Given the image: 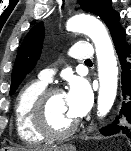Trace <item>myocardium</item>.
I'll return each instance as SVG.
<instances>
[{"label": "myocardium", "mask_w": 131, "mask_h": 151, "mask_svg": "<svg viewBox=\"0 0 131 151\" xmlns=\"http://www.w3.org/2000/svg\"><path fill=\"white\" fill-rule=\"evenodd\" d=\"M59 87L46 88L37 98L33 107V125L36 131L47 139H63L72 135L78 128L79 121H75L70 127L62 131L53 130L48 123V104L51 98L57 94H62Z\"/></svg>", "instance_id": "1"}]
</instances>
